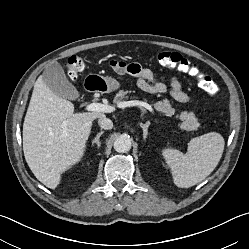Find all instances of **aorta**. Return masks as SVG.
<instances>
[{"mask_svg": "<svg viewBox=\"0 0 249 249\" xmlns=\"http://www.w3.org/2000/svg\"><path fill=\"white\" fill-rule=\"evenodd\" d=\"M132 143L128 135H120L114 141V149L119 153H126L131 149Z\"/></svg>", "mask_w": 249, "mask_h": 249, "instance_id": "1", "label": "aorta"}]
</instances>
